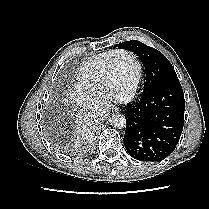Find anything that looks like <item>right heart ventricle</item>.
<instances>
[{"label": "right heart ventricle", "mask_w": 209, "mask_h": 209, "mask_svg": "<svg viewBox=\"0 0 209 209\" xmlns=\"http://www.w3.org/2000/svg\"><path fill=\"white\" fill-rule=\"evenodd\" d=\"M114 51L115 50L102 52L83 63L76 75L77 86L93 94L99 96L103 95V74Z\"/></svg>", "instance_id": "1"}]
</instances>
